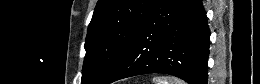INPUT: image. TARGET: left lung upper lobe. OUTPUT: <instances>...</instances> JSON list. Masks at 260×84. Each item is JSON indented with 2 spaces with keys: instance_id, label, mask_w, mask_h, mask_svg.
I'll use <instances>...</instances> for the list:
<instances>
[{
  "instance_id": "1",
  "label": "left lung upper lobe",
  "mask_w": 260,
  "mask_h": 84,
  "mask_svg": "<svg viewBox=\"0 0 260 84\" xmlns=\"http://www.w3.org/2000/svg\"><path fill=\"white\" fill-rule=\"evenodd\" d=\"M157 0H99L88 27L81 84H102Z\"/></svg>"
}]
</instances>
